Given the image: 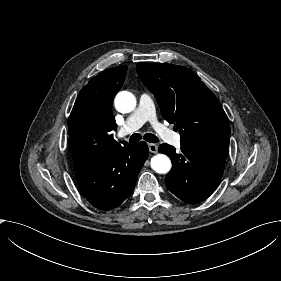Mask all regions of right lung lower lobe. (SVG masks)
<instances>
[{"instance_id": "obj_1", "label": "right lung lower lobe", "mask_w": 281, "mask_h": 281, "mask_svg": "<svg viewBox=\"0 0 281 281\" xmlns=\"http://www.w3.org/2000/svg\"><path fill=\"white\" fill-rule=\"evenodd\" d=\"M71 154L84 197L94 207L110 210L131 195L149 149L145 142H125L113 148H80Z\"/></svg>"}]
</instances>
